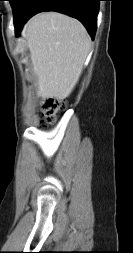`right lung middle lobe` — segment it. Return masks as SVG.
I'll list each match as a JSON object with an SVG mask.
<instances>
[{
	"mask_svg": "<svg viewBox=\"0 0 133 253\" xmlns=\"http://www.w3.org/2000/svg\"><path fill=\"white\" fill-rule=\"evenodd\" d=\"M9 1L12 5L14 23H15L17 21V19L19 18L22 5L26 0H9Z\"/></svg>",
	"mask_w": 133,
	"mask_h": 253,
	"instance_id": "obj_1",
	"label": "right lung middle lobe"
}]
</instances>
